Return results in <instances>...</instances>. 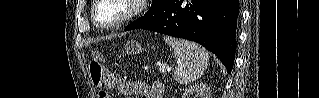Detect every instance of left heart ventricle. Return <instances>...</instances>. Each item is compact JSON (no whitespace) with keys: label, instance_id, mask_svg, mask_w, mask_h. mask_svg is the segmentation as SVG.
Segmentation results:
<instances>
[{"label":"left heart ventricle","instance_id":"left-heart-ventricle-1","mask_svg":"<svg viewBox=\"0 0 319 98\" xmlns=\"http://www.w3.org/2000/svg\"><path fill=\"white\" fill-rule=\"evenodd\" d=\"M130 6L122 0H106L97 10L98 21L102 24L112 23L128 13Z\"/></svg>","mask_w":319,"mask_h":98}]
</instances>
